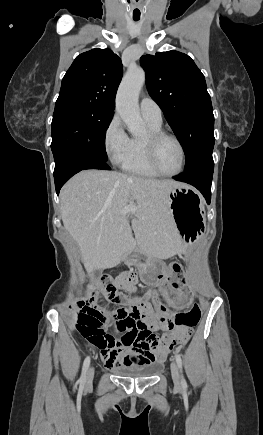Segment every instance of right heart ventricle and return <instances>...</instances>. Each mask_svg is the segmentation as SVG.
Segmentation results:
<instances>
[{
	"instance_id": "e07e8e85",
	"label": "right heart ventricle",
	"mask_w": 263,
	"mask_h": 435,
	"mask_svg": "<svg viewBox=\"0 0 263 435\" xmlns=\"http://www.w3.org/2000/svg\"><path fill=\"white\" fill-rule=\"evenodd\" d=\"M144 119L148 127V133L161 130V123ZM121 166L124 171L133 175L151 178L159 176L148 163L145 137L130 138L127 154Z\"/></svg>"
}]
</instances>
